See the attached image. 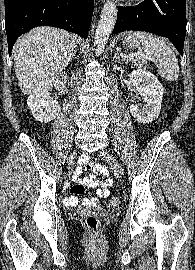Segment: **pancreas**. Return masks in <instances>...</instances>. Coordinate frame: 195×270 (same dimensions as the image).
<instances>
[{
	"instance_id": "cf45deb5",
	"label": "pancreas",
	"mask_w": 195,
	"mask_h": 270,
	"mask_svg": "<svg viewBox=\"0 0 195 270\" xmlns=\"http://www.w3.org/2000/svg\"><path fill=\"white\" fill-rule=\"evenodd\" d=\"M123 59L126 62H131L134 66H141L142 65L139 58L128 57V58H123Z\"/></svg>"
}]
</instances>
